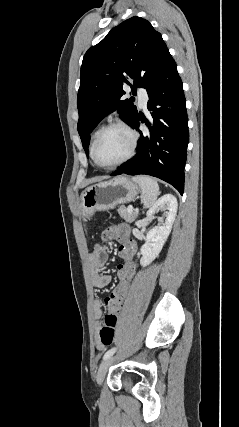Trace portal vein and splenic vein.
Instances as JSON below:
<instances>
[{
    "label": "portal vein and splenic vein",
    "instance_id": "1",
    "mask_svg": "<svg viewBox=\"0 0 239 427\" xmlns=\"http://www.w3.org/2000/svg\"><path fill=\"white\" fill-rule=\"evenodd\" d=\"M128 212H133V207L132 206H129L128 207ZM137 213V212H136Z\"/></svg>",
    "mask_w": 239,
    "mask_h": 427
}]
</instances>
